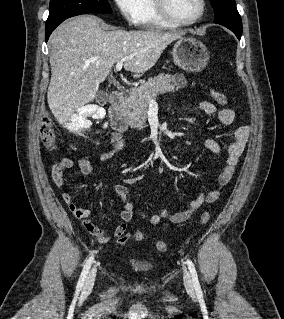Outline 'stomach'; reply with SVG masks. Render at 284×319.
Masks as SVG:
<instances>
[{
    "label": "stomach",
    "mask_w": 284,
    "mask_h": 319,
    "mask_svg": "<svg viewBox=\"0 0 284 319\" xmlns=\"http://www.w3.org/2000/svg\"><path fill=\"white\" fill-rule=\"evenodd\" d=\"M176 65L186 71L198 72L204 69L209 61V51L199 40L181 37L172 48Z\"/></svg>",
    "instance_id": "obj_1"
}]
</instances>
